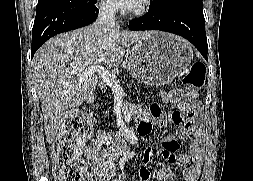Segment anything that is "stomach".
I'll use <instances>...</instances> for the list:
<instances>
[{
  "label": "stomach",
  "instance_id": "obj_1",
  "mask_svg": "<svg viewBox=\"0 0 253 181\" xmlns=\"http://www.w3.org/2000/svg\"><path fill=\"white\" fill-rule=\"evenodd\" d=\"M193 59L190 44L181 37L152 31L134 44L127 68L139 82L161 86L172 81Z\"/></svg>",
  "mask_w": 253,
  "mask_h": 181
}]
</instances>
